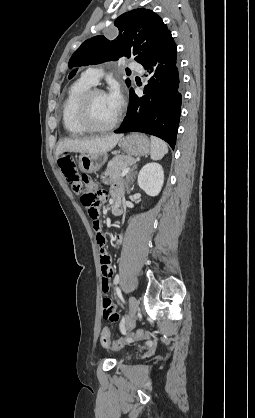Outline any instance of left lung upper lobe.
Instances as JSON below:
<instances>
[{
	"mask_svg": "<svg viewBox=\"0 0 255 418\" xmlns=\"http://www.w3.org/2000/svg\"><path fill=\"white\" fill-rule=\"evenodd\" d=\"M114 25L119 30L115 40L104 36H96L84 41L73 53L69 60V67L99 64L120 57H134L142 64L150 57L160 52L172 38L162 19L153 11L138 8L122 14ZM73 70L69 78H72ZM130 85V80L126 79Z\"/></svg>",
	"mask_w": 255,
	"mask_h": 418,
	"instance_id": "1",
	"label": "left lung upper lobe"
}]
</instances>
